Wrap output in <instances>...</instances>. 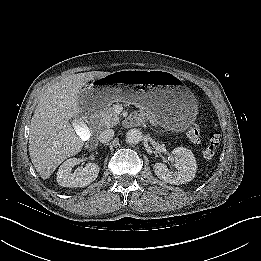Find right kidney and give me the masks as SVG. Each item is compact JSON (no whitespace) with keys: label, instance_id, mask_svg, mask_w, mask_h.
<instances>
[{"label":"right kidney","instance_id":"ca27d5eb","mask_svg":"<svg viewBox=\"0 0 261 261\" xmlns=\"http://www.w3.org/2000/svg\"><path fill=\"white\" fill-rule=\"evenodd\" d=\"M83 128H87L84 123H81ZM78 163L77 158L66 160L58 169L57 182L63 187H85L95 181L99 174V166L95 163H88L83 169L71 172L72 168Z\"/></svg>","mask_w":261,"mask_h":261}]
</instances>
